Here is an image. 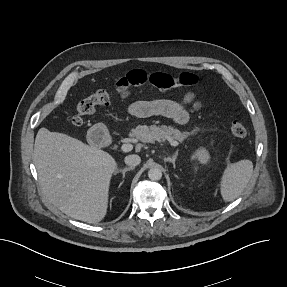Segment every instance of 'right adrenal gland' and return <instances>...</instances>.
<instances>
[{
  "instance_id": "2a0ac1e0",
  "label": "right adrenal gland",
  "mask_w": 287,
  "mask_h": 287,
  "mask_svg": "<svg viewBox=\"0 0 287 287\" xmlns=\"http://www.w3.org/2000/svg\"><path fill=\"white\" fill-rule=\"evenodd\" d=\"M134 169V167H126V168H124V169H119V170H117L116 171V174L117 173H122V177L124 178L125 177V173L127 172V171H130V170H133ZM123 182V181H122ZM122 182L120 183V185L122 184Z\"/></svg>"
}]
</instances>
